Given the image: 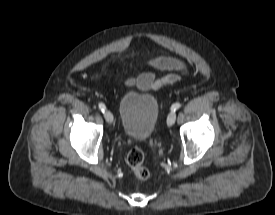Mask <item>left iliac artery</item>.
<instances>
[{"instance_id":"obj_1","label":"left iliac artery","mask_w":275,"mask_h":215,"mask_svg":"<svg viewBox=\"0 0 275 215\" xmlns=\"http://www.w3.org/2000/svg\"><path fill=\"white\" fill-rule=\"evenodd\" d=\"M179 108H180V103H175V104L172 105L171 110L176 111Z\"/></svg>"}]
</instances>
